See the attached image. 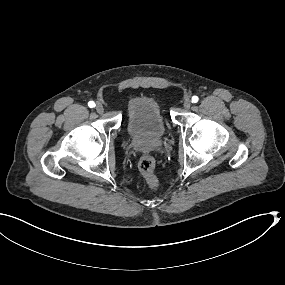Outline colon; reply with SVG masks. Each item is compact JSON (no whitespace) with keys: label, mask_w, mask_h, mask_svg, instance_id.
<instances>
[{"label":"colon","mask_w":285,"mask_h":285,"mask_svg":"<svg viewBox=\"0 0 285 285\" xmlns=\"http://www.w3.org/2000/svg\"><path fill=\"white\" fill-rule=\"evenodd\" d=\"M155 166V159L150 155L143 156L139 161V170L152 189L158 186V179L155 174Z\"/></svg>","instance_id":"1"}]
</instances>
